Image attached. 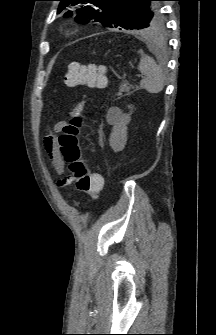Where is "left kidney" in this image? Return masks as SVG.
Segmentation results:
<instances>
[{
    "mask_svg": "<svg viewBox=\"0 0 216 335\" xmlns=\"http://www.w3.org/2000/svg\"><path fill=\"white\" fill-rule=\"evenodd\" d=\"M131 109L129 114H123L119 123L115 124L112 128L109 144L114 152H120L125 148L127 142V125L131 121V114L133 112V106L129 105Z\"/></svg>",
    "mask_w": 216,
    "mask_h": 335,
    "instance_id": "left-kidney-1",
    "label": "left kidney"
}]
</instances>
